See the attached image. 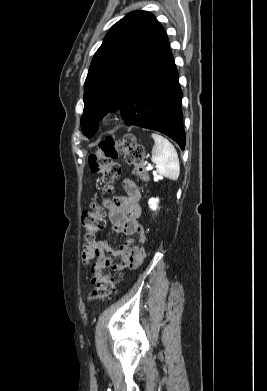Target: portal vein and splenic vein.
<instances>
[{
	"instance_id": "18ae733b",
	"label": "portal vein and splenic vein",
	"mask_w": 267,
	"mask_h": 391,
	"mask_svg": "<svg viewBox=\"0 0 267 391\" xmlns=\"http://www.w3.org/2000/svg\"><path fill=\"white\" fill-rule=\"evenodd\" d=\"M150 168H151V166H150V165H148L147 169H150Z\"/></svg>"
}]
</instances>
